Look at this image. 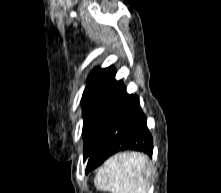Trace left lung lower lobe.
Returning a JSON list of instances; mask_svg holds the SVG:
<instances>
[{"mask_svg":"<svg viewBox=\"0 0 221 193\" xmlns=\"http://www.w3.org/2000/svg\"><path fill=\"white\" fill-rule=\"evenodd\" d=\"M108 118V126L88 158L86 173L118 152L136 150L152 156V135L147 128L139 98L128 94L124 84L111 105Z\"/></svg>","mask_w":221,"mask_h":193,"instance_id":"0a47b994","label":"left lung lower lobe"}]
</instances>
